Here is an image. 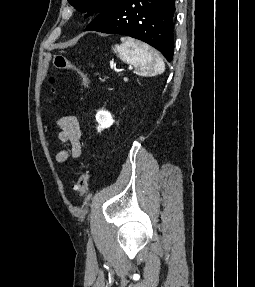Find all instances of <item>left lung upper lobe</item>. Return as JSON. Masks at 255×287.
Instances as JSON below:
<instances>
[{
    "label": "left lung upper lobe",
    "instance_id": "1",
    "mask_svg": "<svg viewBox=\"0 0 255 287\" xmlns=\"http://www.w3.org/2000/svg\"><path fill=\"white\" fill-rule=\"evenodd\" d=\"M70 4L76 6L78 10L88 11L86 15L89 16L93 12L100 13L102 12L112 0H68Z\"/></svg>",
    "mask_w": 255,
    "mask_h": 287
}]
</instances>
